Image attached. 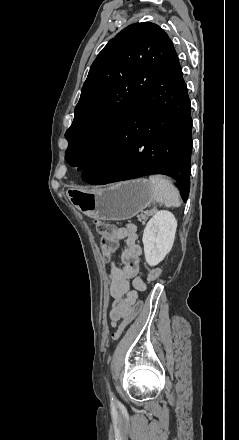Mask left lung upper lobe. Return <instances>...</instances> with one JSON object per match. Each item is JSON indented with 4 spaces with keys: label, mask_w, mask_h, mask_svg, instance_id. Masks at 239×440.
I'll list each match as a JSON object with an SVG mask.
<instances>
[{
    "label": "left lung upper lobe",
    "mask_w": 239,
    "mask_h": 440,
    "mask_svg": "<svg viewBox=\"0 0 239 440\" xmlns=\"http://www.w3.org/2000/svg\"><path fill=\"white\" fill-rule=\"evenodd\" d=\"M175 51L158 25H129L111 39L91 65L75 117L66 131V161L85 169L132 112Z\"/></svg>",
    "instance_id": "obj_1"
}]
</instances>
